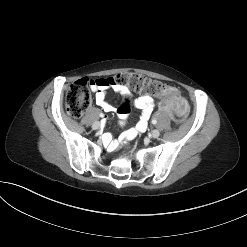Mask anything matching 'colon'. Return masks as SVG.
<instances>
[{"instance_id":"colon-1","label":"colon","mask_w":247,"mask_h":247,"mask_svg":"<svg viewBox=\"0 0 247 247\" xmlns=\"http://www.w3.org/2000/svg\"><path fill=\"white\" fill-rule=\"evenodd\" d=\"M109 81L129 87L138 93H163L161 101L163 108L174 110L178 116H183L186 113V103L178 91L173 87H167L161 81L136 73L119 74ZM100 83V80L82 78L70 86L66 94V110L72 117L79 118L84 114L90 105V89L94 84ZM129 110V98H127L126 102L120 106L119 113L121 116H126Z\"/></svg>"}]
</instances>
